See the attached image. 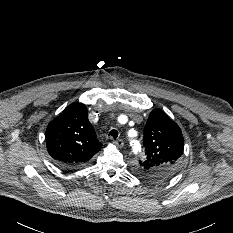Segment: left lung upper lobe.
<instances>
[{"instance_id": "1", "label": "left lung upper lobe", "mask_w": 233, "mask_h": 233, "mask_svg": "<svg viewBox=\"0 0 233 233\" xmlns=\"http://www.w3.org/2000/svg\"><path fill=\"white\" fill-rule=\"evenodd\" d=\"M145 161H139L138 174L149 181H164L177 170L184 139L178 125L162 110L151 111L144 128Z\"/></svg>"}]
</instances>
